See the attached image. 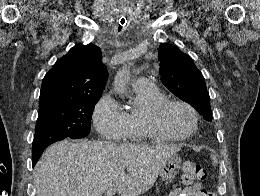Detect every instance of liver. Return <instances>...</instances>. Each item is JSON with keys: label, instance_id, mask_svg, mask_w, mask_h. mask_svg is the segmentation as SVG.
Masks as SVG:
<instances>
[{"label": "liver", "instance_id": "1", "mask_svg": "<svg viewBox=\"0 0 260 196\" xmlns=\"http://www.w3.org/2000/svg\"><path fill=\"white\" fill-rule=\"evenodd\" d=\"M180 146H137L62 140L43 152L33 178L37 196H141L154 186L161 168ZM127 170V174H126Z\"/></svg>", "mask_w": 260, "mask_h": 196}]
</instances>
